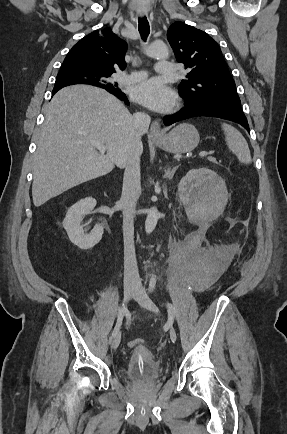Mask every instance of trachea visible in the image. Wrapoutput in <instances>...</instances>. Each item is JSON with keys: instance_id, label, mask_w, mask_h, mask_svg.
Masks as SVG:
<instances>
[{"instance_id": "3493384b", "label": "trachea", "mask_w": 287, "mask_h": 434, "mask_svg": "<svg viewBox=\"0 0 287 434\" xmlns=\"http://www.w3.org/2000/svg\"><path fill=\"white\" fill-rule=\"evenodd\" d=\"M139 25L138 30L141 38L145 41L150 33V26L147 18L144 16L138 19Z\"/></svg>"}]
</instances>
